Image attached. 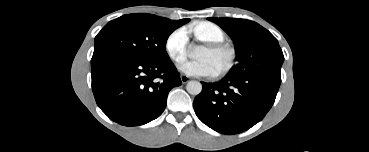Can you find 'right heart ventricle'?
Instances as JSON below:
<instances>
[{"mask_svg": "<svg viewBox=\"0 0 369 152\" xmlns=\"http://www.w3.org/2000/svg\"><path fill=\"white\" fill-rule=\"evenodd\" d=\"M189 30L200 40L206 42H223L224 31L216 24L209 21H200L192 25Z\"/></svg>", "mask_w": 369, "mask_h": 152, "instance_id": "obj_1", "label": "right heart ventricle"}]
</instances>
